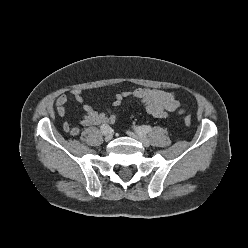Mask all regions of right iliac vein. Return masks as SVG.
Wrapping results in <instances>:
<instances>
[{
	"label": "right iliac vein",
	"instance_id": "obj_1",
	"mask_svg": "<svg viewBox=\"0 0 248 248\" xmlns=\"http://www.w3.org/2000/svg\"><path fill=\"white\" fill-rule=\"evenodd\" d=\"M111 139H112V134L109 133V134L105 135V141L106 142L110 141Z\"/></svg>",
	"mask_w": 248,
	"mask_h": 248
}]
</instances>
